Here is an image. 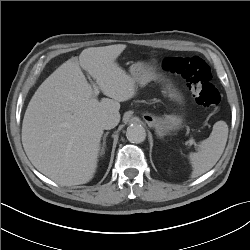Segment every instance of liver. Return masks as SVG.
Listing matches in <instances>:
<instances>
[{"mask_svg": "<svg viewBox=\"0 0 250 250\" xmlns=\"http://www.w3.org/2000/svg\"><path fill=\"white\" fill-rule=\"evenodd\" d=\"M125 44L84 49L37 89L22 123V144L33 166L62 186L89 182L97 168L101 120L120 119V102L136 94L134 79L116 62ZM81 68L102 93L100 101Z\"/></svg>", "mask_w": 250, "mask_h": 250, "instance_id": "obj_1", "label": "liver"}]
</instances>
